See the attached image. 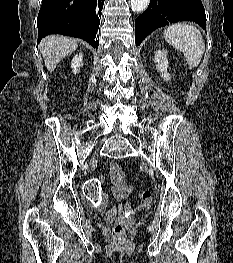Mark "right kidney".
Returning <instances> with one entry per match:
<instances>
[{
    "mask_svg": "<svg viewBox=\"0 0 233 263\" xmlns=\"http://www.w3.org/2000/svg\"><path fill=\"white\" fill-rule=\"evenodd\" d=\"M82 60H83V54L82 53L76 54L73 57V59L71 61V68L73 69L74 74L79 73L80 67L83 65Z\"/></svg>",
    "mask_w": 233,
    "mask_h": 263,
    "instance_id": "right-kidney-1",
    "label": "right kidney"
}]
</instances>
